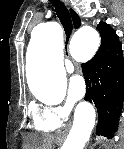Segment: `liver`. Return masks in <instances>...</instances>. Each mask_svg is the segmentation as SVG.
Instances as JSON below:
<instances>
[{
    "label": "liver",
    "mask_w": 124,
    "mask_h": 149,
    "mask_svg": "<svg viewBox=\"0 0 124 149\" xmlns=\"http://www.w3.org/2000/svg\"><path fill=\"white\" fill-rule=\"evenodd\" d=\"M28 141V149H49L52 146L53 136H31Z\"/></svg>",
    "instance_id": "obj_1"
}]
</instances>
